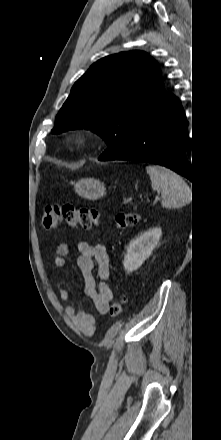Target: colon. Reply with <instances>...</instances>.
<instances>
[{
	"label": "colon",
	"mask_w": 221,
	"mask_h": 440,
	"mask_svg": "<svg viewBox=\"0 0 221 440\" xmlns=\"http://www.w3.org/2000/svg\"><path fill=\"white\" fill-rule=\"evenodd\" d=\"M141 219V215L132 212H119L113 215L112 220L122 228L135 226ZM99 212L94 208L79 207L71 204L49 205L45 208L42 216V224L46 229H55L62 224L69 227L81 226L91 228L98 223ZM124 299H117L110 308L112 317H119L124 306Z\"/></svg>",
	"instance_id": "1"
}]
</instances>
